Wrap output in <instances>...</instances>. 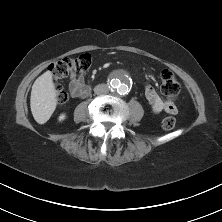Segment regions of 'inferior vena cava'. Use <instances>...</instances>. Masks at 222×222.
<instances>
[{"label":"inferior vena cava","instance_id":"602c4592","mask_svg":"<svg viewBox=\"0 0 222 222\" xmlns=\"http://www.w3.org/2000/svg\"><path fill=\"white\" fill-rule=\"evenodd\" d=\"M109 86L107 84H98L94 88V92L97 95H105L109 92Z\"/></svg>","mask_w":222,"mask_h":222}]
</instances>
